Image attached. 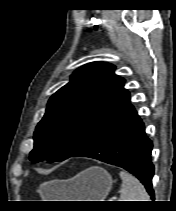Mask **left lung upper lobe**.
Here are the masks:
<instances>
[{
	"mask_svg": "<svg viewBox=\"0 0 176 211\" xmlns=\"http://www.w3.org/2000/svg\"><path fill=\"white\" fill-rule=\"evenodd\" d=\"M105 62L86 64L48 101L34 132L29 159L63 161L84 146L92 134L130 104L125 80Z\"/></svg>",
	"mask_w": 176,
	"mask_h": 211,
	"instance_id": "obj_1",
	"label": "left lung upper lobe"
}]
</instances>
